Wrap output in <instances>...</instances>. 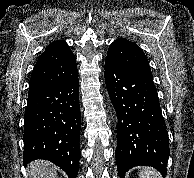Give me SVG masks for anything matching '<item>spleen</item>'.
Masks as SVG:
<instances>
[{"label": "spleen", "instance_id": "spleen-1", "mask_svg": "<svg viewBox=\"0 0 194 178\" xmlns=\"http://www.w3.org/2000/svg\"><path fill=\"white\" fill-rule=\"evenodd\" d=\"M139 178H161L159 173L149 167H142L139 170Z\"/></svg>", "mask_w": 194, "mask_h": 178}]
</instances>
